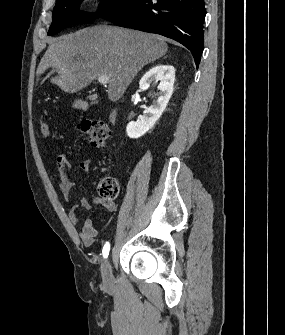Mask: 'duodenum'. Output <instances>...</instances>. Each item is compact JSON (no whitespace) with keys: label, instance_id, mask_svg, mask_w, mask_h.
Wrapping results in <instances>:
<instances>
[{"label":"duodenum","instance_id":"410a0bca","mask_svg":"<svg viewBox=\"0 0 285 335\" xmlns=\"http://www.w3.org/2000/svg\"><path fill=\"white\" fill-rule=\"evenodd\" d=\"M115 117V114H114V112L112 113V115H111V119H113Z\"/></svg>","mask_w":285,"mask_h":335}]
</instances>
